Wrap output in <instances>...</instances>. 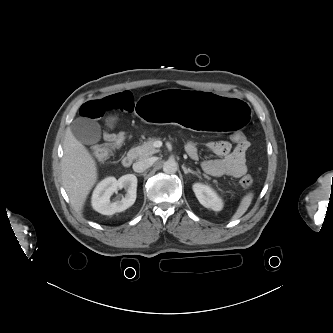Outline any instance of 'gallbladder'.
I'll use <instances>...</instances> for the list:
<instances>
[{
  "label": "gallbladder",
  "instance_id": "obj_1",
  "mask_svg": "<svg viewBox=\"0 0 333 333\" xmlns=\"http://www.w3.org/2000/svg\"><path fill=\"white\" fill-rule=\"evenodd\" d=\"M72 134L83 144H94L100 140L99 124L87 117H78L71 125Z\"/></svg>",
  "mask_w": 333,
  "mask_h": 333
}]
</instances>
